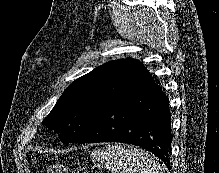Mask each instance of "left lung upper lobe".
<instances>
[{"instance_id": "5c2ea615", "label": "left lung upper lobe", "mask_w": 219, "mask_h": 173, "mask_svg": "<svg viewBox=\"0 0 219 173\" xmlns=\"http://www.w3.org/2000/svg\"><path fill=\"white\" fill-rule=\"evenodd\" d=\"M142 69V63L131 58L95 68L63 92L42 123L59 133L62 143L74 142L96 115L137 79Z\"/></svg>"}]
</instances>
